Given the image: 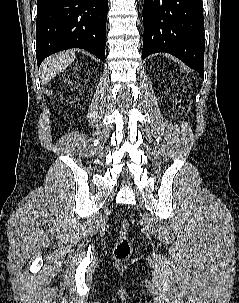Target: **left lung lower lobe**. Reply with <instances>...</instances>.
<instances>
[{
    "label": "left lung lower lobe",
    "instance_id": "left-lung-lower-lobe-1",
    "mask_svg": "<svg viewBox=\"0 0 239 303\" xmlns=\"http://www.w3.org/2000/svg\"><path fill=\"white\" fill-rule=\"evenodd\" d=\"M142 57L170 53L204 76L202 0H144Z\"/></svg>",
    "mask_w": 239,
    "mask_h": 303
}]
</instances>
